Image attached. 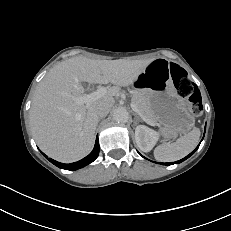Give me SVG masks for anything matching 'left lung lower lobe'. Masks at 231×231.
Listing matches in <instances>:
<instances>
[{"label":"left lung lower lobe","mask_w":231,"mask_h":231,"mask_svg":"<svg viewBox=\"0 0 231 231\" xmlns=\"http://www.w3.org/2000/svg\"><path fill=\"white\" fill-rule=\"evenodd\" d=\"M198 147H199V145L197 146V148H198ZM197 148H196L193 152H191L189 155H187L185 158H183V159H181V160H179V161H176L175 164H178V163H180V162L186 160L187 158H189V157L197 150ZM140 155H141V154H140ZM141 156H142V155H141ZM142 157H143V156H142ZM161 164L164 165V163H161ZM172 164H174V163H165V165H172Z\"/></svg>","instance_id":"0a47b994"}]
</instances>
